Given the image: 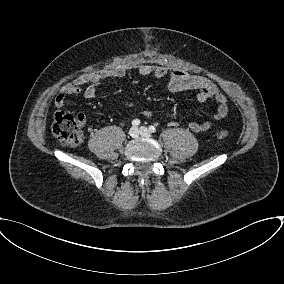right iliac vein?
Segmentation results:
<instances>
[{"label": "right iliac vein", "instance_id": "right-iliac-vein-1", "mask_svg": "<svg viewBox=\"0 0 284 284\" xmlns=\"http://www.w3.org/2000/svg\"><path fill=\"white\" fill-rule=\"evenodd\" d=\"M129 135L132 137V138H136L138 137L139 135V131L136 127H132L129 131Z\"/></svg>", "mask_w": 284, "mask_h": 284}]
</instances>
